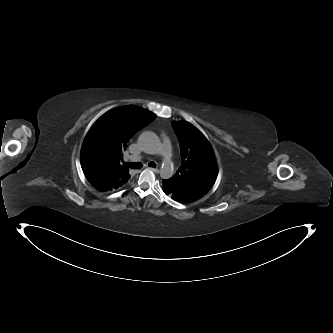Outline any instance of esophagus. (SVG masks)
I'll return each instance as SVG.
<instances>
[{
    "label": "esophagus",
    "mask_w": 333,
    "mask_h": 333,
    "mask_svg": "<svg viewBox=\"0 0 333 333\" xmlns=\"http://www.w3.org/2000/svg\"><path fill=\"white\" fill-rule=\"evenodd\" d=\"M149 169H151L153 172H155L157 174L160 172V170L158 168L149 167Z\"/></svg>",
    "instance_id": "obj_1"
}]
</instances>
